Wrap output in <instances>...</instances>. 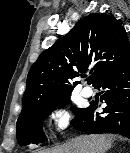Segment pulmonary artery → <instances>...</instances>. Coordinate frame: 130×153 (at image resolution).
Returning <instances> with one entry per match:
<instances>
[{
  "mask_svg": "<svg viewBox=\"0 0 130 153\" xmlns=\"http://www.w3.org/2000/svg\"><path fill=\"white\" fill-rule=\"evenodd\" d=\"M93 94H94V92H93L92 88H90V87H84L82 89V95L84 97H87L88 98V97L93 96Z\"/></svg>",
  "mask_w": 130,
  "mask_h": 153,
  "instance_id": "obj_1",
  "label": "pulmonary artery"
}]
</instances>
